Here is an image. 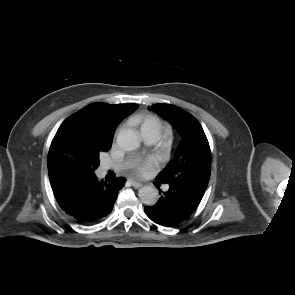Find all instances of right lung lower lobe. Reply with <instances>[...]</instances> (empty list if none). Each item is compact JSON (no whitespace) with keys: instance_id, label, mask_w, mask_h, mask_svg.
Returning <instances> with one entry per match:
<instances>
[{"instance_id":"obj_1","label":"right lung lower lobe","mask_w":295,"mask_h":295,"mask_svg":"<svg viewBox=\"0 0 295 295\" xmlns=\"http://www.w3.org/2000/svg\"><path fill=\"white\" fill-rule=\"evenodd\" d=\"M50 182L60 207L81 224L99 222L108 215L125 178L97 180L95 173L56 169L49 173Z\"/></svg>"}]
</instances>
